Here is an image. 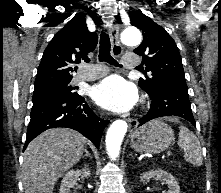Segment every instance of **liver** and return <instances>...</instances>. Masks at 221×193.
Segmentation results:
<instances>
[{
    "label": "liver",
    "instance_id": "1",
    "mask_svg": "<svg viewBox=\"0 0 221 193\" xmlns=\"http://www.w3.org/2000/svg\"><path fill=\"white\" fill-rule=\"evenodd\" d=\"M85 141L68 128H51L32 140L22 165L25 193H53L57 180L82 157Z\"/></svg>",
    "mask_w": 221,
    "mask_h": 193
}]
</instances>
